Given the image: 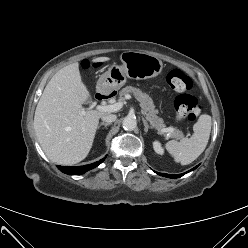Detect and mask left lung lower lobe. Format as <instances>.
Masks as SVG:
<instances>
[{
  "mask_svg": "<svg viewBox=\"0 0 248 248\" xmlns=\"http://www.w3.org/2000/svg\"><path fill=\"white\" fill-rule=\"evenodd\" d=\"M196 168H197V166L194 167L193 169L189 170L188 172H190V171H192V170H194ZM188 172H186V173H188ZM157 174H159L161 176L168 177V178H179V177L183 176L185 173H183V174H176V175H170V174H165V173H157Z\"/></svg>",
  "mask_w": 248,
  "mask_h": 248,
  "instance_id": "1",
  "label": "left lung lower lobe"
}]
</instances>
